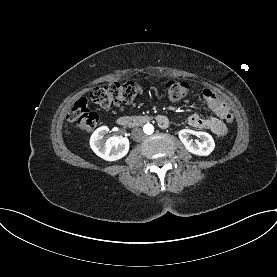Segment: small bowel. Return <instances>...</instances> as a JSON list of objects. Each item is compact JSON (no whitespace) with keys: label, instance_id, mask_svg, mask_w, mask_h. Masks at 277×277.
I'll return each mask as SVG.
<instances>
[{"label":"small bowel","instance_id":"obj_1","mask_svg":"<svg viewBox=\"0 0 277 277\" xmlns=\"http://www.w3.org/2000/svg\"><path fill=\"white\" fill-rule=\"evenodd\" d=\"M203 99L216 116L203 118L194 114L189 118V124L194 128L209 130L217 136L225 135L227 128L223 120H226L225 114L230 112L228 105L210 89H204ZM160 122L162 125L168 124L165 117H161Z\"/></svg>","mask_w":277,"mask_h":277}]
</instances>
